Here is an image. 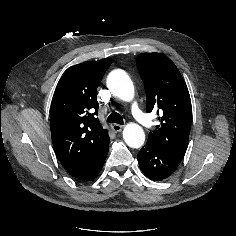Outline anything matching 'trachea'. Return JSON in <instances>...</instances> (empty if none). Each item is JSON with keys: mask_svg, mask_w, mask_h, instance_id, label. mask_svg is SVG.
I'll list each match as a JSON object with an SVG mask.
<instances>
[{"mask_svg": "<svg viewBox=\"0 0 236 236\" xmlns=\"http://www.w3.org/2000/svg\"><path fill=\"white\" fill-rule=\"evenodd\" d=\"M107 122L117 123V124H120V125H123V123H124L123 117L117 112L111 113L107 118Z\"/></svg>", "mask_w": 236, "mask_h": 236, "instance_id": "trachea-1", "label": "trachea"}]
</instances>
